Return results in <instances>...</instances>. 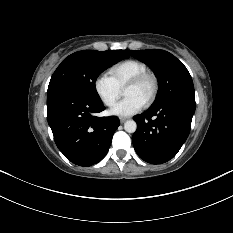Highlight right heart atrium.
<instances>
[{"instance_id": "right-heart-atrium-1", "label": "right heart atrium", "mask_w": 233, "mask_h": 233, "mask_svg": "<svg viewBox=\"0 0 233 233\" xmlns=\"http://www.w3.org/2000/svg\"><path fill=\"white\" fill-rule=\"evenodd\" d=\"M93 87L98 98L108 107L113 106L121 95V89L114 80L105 73L99 74L95 78Z\"/></svg>"}]
</instances>
